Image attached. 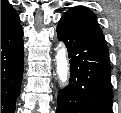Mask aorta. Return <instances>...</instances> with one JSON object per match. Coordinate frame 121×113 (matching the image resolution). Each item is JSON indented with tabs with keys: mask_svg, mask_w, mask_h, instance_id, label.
<instances>
[{
	"mask_svg": "<svg viewBox=\"0 0 121 113\" xmlns=\"http://www.w3.org/2000/svg\"><path fill=\"white\" fill-rule=\"evenodd\" d=\"M56 68L60 84L64 87V84L68 80L69 64L67 59V51L63 43H59L58 45L56 54Z\"/></svg>",
	"mask_w": 121,
	"mask_h": 113,
	"instance_id": "762f6f07",
	"label": "aorta"
}]
</instances>
